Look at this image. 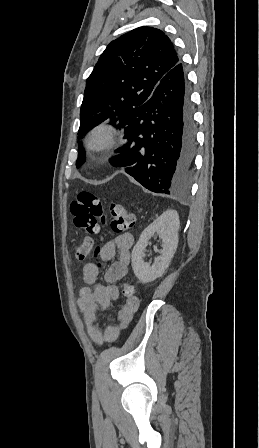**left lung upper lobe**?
Returning a JSON list of instances; mask_svg holds the SVG:
<instances>
[{
  "label": "left lung upper lobe",
  "instance_id": "obj_1",
  "mask_svg": "<svg viewBox=\"0 0 259 448\" xmlns=\"http://www.w3.org/2000/svg\"><path fill=\"white\" fill-rule=\"evenodd\" d=\"M180 62L171 40L159 29L139 27L112 41L86 81L80 110L79 137L110 119H126L151 97L161 78ZM79 147L76 166L84 163Z\"/></svg>",
  "mask_w": 259,
  "mask_h": 448
}]
</instances>
